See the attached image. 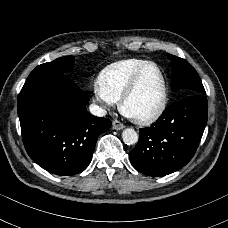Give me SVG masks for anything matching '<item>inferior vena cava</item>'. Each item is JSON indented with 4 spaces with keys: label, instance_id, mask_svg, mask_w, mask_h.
Returning <instances> with one entry per match:
<instances>
[{
    "label": "inferior vena cava",
    "instance_id": "1",
    "mask_svg": "<svg viewBox=\"0 0 228 228\" xmlns=\"http://www.w3.org/2000/svg\"><path fill=\"white\" fill-rule=\"evenodd\" d=\"M89 110L91 112V114L95 115V116H98V117H103L106 115V110L99 107L98 105L96 104H91L89 106Z\"/></svg>",
    "mask_w": 228,
    "mask_h": 228
}]
</instances>
